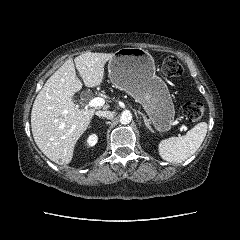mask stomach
Returning a JSON list of instances; mask_svg holds the SVG:
<instances>
[{
	"label": "stomach",
	"instance_id": "1",
	"mask_svg": "<svg viewBox=\"0 0 240 240\" xmlns=\"http://www.w3.org/2000/svg\"><path fill=\"white\" fill-rule=\"evenodd\" d=\"M111 82L139 102L159 132L172 127L175 109L165 82L156 76L151 54L142 48H121L109 60Z\"/></svg>",
	"mask_w": 240,
	"mask_h": 240
}]
</instances>
